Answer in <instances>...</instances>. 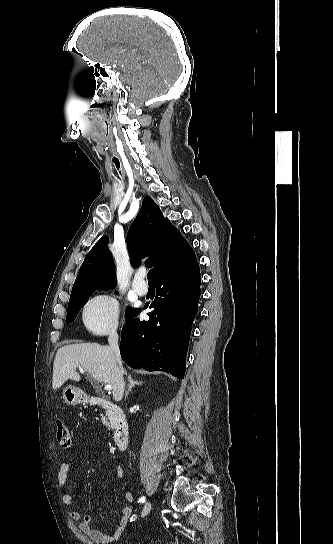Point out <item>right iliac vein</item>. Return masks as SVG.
I'll return each instance as SVG.
<instances>
[{
	"label": "right iliac vein",
	"instance_id": "1",
	"mask_svg": "<svg viewBox=\"0 0 333 544\" xmlns=\"http://www.w3.org/2000/svg\"><path fill=\"white\" fill-rule=\"evenodd\" d=\"M151 510V502H146V504L144 505L143 507V510H142V517H145L148 515V513L150 512Z\"/></svg>",
	"mask_w": 333,
	"mask_h": 544
}]
</instances>
